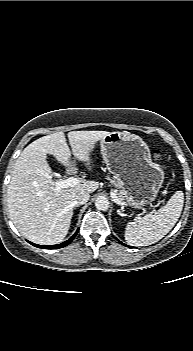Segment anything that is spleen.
<instances>
[{
    "mask_svg": "<svg viewBox=\"0 0 193 351\" xmlns=\"http://www.w3.org/2000/svg\"><path fill=\"white\" fill-rule=\"evenodd\" d=\"M183 203L184 193L176 191L158 211L127 223L124 234L126 242L134 246H148L162 239L178 221Z\"/></svg>",
    "mask_w": 193,
    "mask_h": 351,
    "instance_id": "3e777b00",
    "label": "spleen"
}]
</instances>
